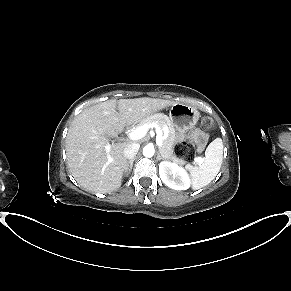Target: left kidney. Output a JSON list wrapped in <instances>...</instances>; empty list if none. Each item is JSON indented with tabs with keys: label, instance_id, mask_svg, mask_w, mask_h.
Returning a JSON list of instances; mask_svg holds the SVG:
<instances>
[{
	"label": "left kidney",
	"instance_id": "left-kidney-1",
	"mask_svg": "<svg viewBox=\"0 0 291 291\" xmlns=\"http://www.w3.org/2000/svg\"><path fill=\"white\" fill-rule=\"evenodd\" d=\"M159 175L162 182L174 190H187L191 185L187 170L173 162H161L159 164Z\"/></svg>",
	"mask_w": 291,
	"mask_h": 291
}]
</instances>
